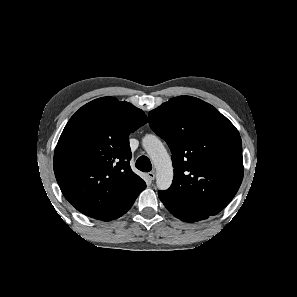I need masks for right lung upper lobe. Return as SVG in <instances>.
Returning <instances> with one entry per match:
<instances>
[{"label": "right lung upper lobe", "mask_w": 297, "mask_h": 297, "mask_svg": "<svg viewBox=\"0 0 297 297\" xmlns=\"http://www.w3.org/2000/svg\"><path fill=\"white\" fill-rule=\"evenodd\" d=\"M146 123L141 109L114 97L95 99L71 117L53 166L63 195L78 211L110 221L145 189L129 164V135Z\"/></svg>", "instance_id": "1"}]
</instances>
